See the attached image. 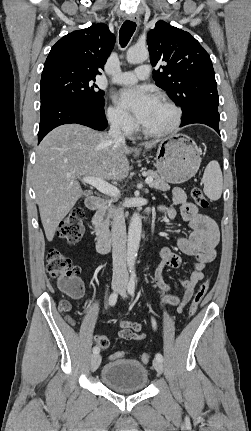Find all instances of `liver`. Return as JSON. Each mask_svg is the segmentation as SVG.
Here are the masks:
<instances>
[{
    "label": "liver",
    "mask_w": 251,
    "mask_h": 431,
    "mask_svg": "<svg viewBox=\"0 0 251 431\" xmlns=\"http://www.w3.org/2000/svg\"><path fill=\"white\" fill-rule=\"evenodd\" d=\"M156 142L144 144L151 149ZM134 149L79 124L61 125L39 144L34 188L46 238L51 242L59 223L82 197L78 179L123 180L130 171L127 155Z\"/></svg>",
    "instance_id": "6515ba94"
}]
</instances>
